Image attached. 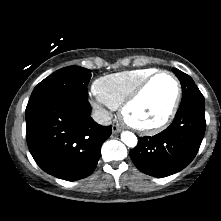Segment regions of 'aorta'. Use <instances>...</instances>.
Listing matches in <instances>:
<instances>
[{"label": "aorta", "instance_id": "1", "mask_svg": "<svg viewBox=\"0 0 221 221\" xmlns=\"http://www.w3.org/2000/svg\"><path fill=\"white\" fill-rule=\"evenodd\" d=\"M121 141L128 147H135L137 145V137L134 133L129 131H124L121 134Z\"/></svg>", "mask_w": 221, "mask_h": 221}]
</instances>
